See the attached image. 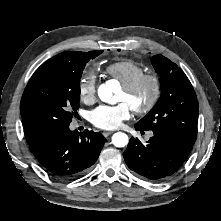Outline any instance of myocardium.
<instances>
[{"instance_id":"1","label":"myocardium","mask_w":221,"mask_h":221,"mask_svg":"<svg viewBox=\"0 0 221 221\" xmlns=\"http://www.w3.org/2000/svg\"><path fill=\"white\" fill-rule=\"evenodd\" d=\"M145 86L150 88L148 101L141 106L132 108L133 111L139 115L151 112L158 104L162 93L160 78L154 73H144L131 82L122 85V89L128 94H134Z\"/></svg>"}]
</instances>
